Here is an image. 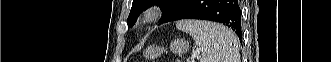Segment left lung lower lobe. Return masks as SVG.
Wrapping results in <instances>:
<instances>
[{"mask_svg": "<svg viewBox=\"0 0 331 62\" xmlns=\"http://www.w3.org/2000/svg\"><path fill=\"white\" fill-rule=\"evenodd\" d=\"M181 19L219 22L242 37L241 9L238 0H185L168 22Z\"/></svg>", "mask_w": 331, "mask_h": 62, "instance_id": "1", "label": "left lung lower lobe"}]
</instances>
